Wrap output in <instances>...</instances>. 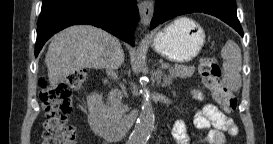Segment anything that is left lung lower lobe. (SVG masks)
<instances>
[{
	"instance_id": "obj_1",
	"label": "left lung lower lobe",
	"mask_w": 273,
	"mask_h": 144,
	"mask_svg": "<svg viewBox=\"0 0 273 144\" xmlns=\"http://www.w3.org/2000/svg\"><path fill=\"white\" fill-rule=\"evenodd\" d=\"M193 12L213 15L243 36V30L237 18L235 0H156L151 28L176 16Z\"/></svg>"
}]
</instances>
